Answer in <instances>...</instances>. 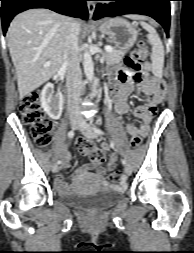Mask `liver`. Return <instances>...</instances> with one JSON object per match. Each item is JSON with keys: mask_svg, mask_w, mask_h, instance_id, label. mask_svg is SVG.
<instances>
[{"mask_svg": "<svg viewBox=\"0 0 194 253\" xmlns=\"http://www.w3.org/2000/svg\"><path fill=\"white\" fill-rule=\"evenodd\" d=\"M128 17L146 19L140 15ZM66 19L48 9H31L18 14L10 23L7 42L20 99L48 81L62 65ZM77 23L81 28V22Z\"/></svg>", "mask_w": 194, "mask_h": 253, "instance_id": "obj_1", "label": "liver"}]
</instances>
